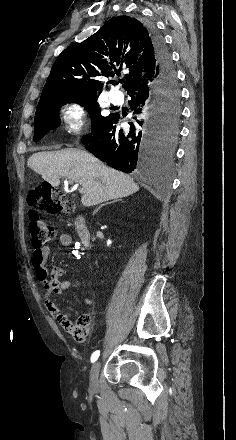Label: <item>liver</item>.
Returning <instances> with one entry per match:
<instances>
[{"label":"liver","mask_w":236,"mask_h":440,"mask_svg":"<svg viewBox=\"0 0 236 440\" xmlns=\"http://www.w3.org/2000/svg\"><path fill=\"white\" fill-rule=\"evenodd\" d=\"M27 165L54 187L59 186L62 177L79 183L83 191L81 201L86 207L127 197L139 190L129 175L107 167L80 149L34 153Z\"/></svg>","instance_id":"obj_1"}]
</instances>
